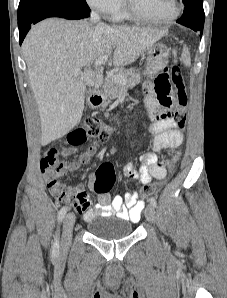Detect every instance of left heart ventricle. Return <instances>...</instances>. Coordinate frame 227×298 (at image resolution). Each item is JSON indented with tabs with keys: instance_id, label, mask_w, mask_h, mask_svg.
Returning a JSON list of instances; mask_svg holds the SVG:
<instances>
[{
	"instance_id": "b2bd125f",
	"label": "left heart ventricle",
	"mask_w": 227,
	"mask_h": 298,
	"mask_svg": "<svg viewBox=\"0 0 227 298\" xmlns=\"http://www.w3.org/2000/svg\"><path fill=\"white\" fill-rule=\"evenodd\" d=\"M136 9L145 16L163 19L173 12V0H132Z\"/></svg>"
}]
</instances>
